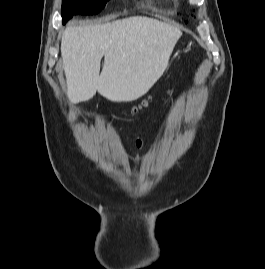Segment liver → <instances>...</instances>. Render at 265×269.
<instances>
[{
    "label": "liver",
    "mask_w": 265,
    "mask_h": 269,
    "mask_svg": "<svg viewBox=\"0 0 265 269\" xmlns=\"http://www.w3.org/2000/svg\"><path fill=\"white\" fill-rule=\"evenodd\" d=\"M181 35L177 27L144 16L67 27L61 55L69 100L87 101L96 91L113 102L145 95L165 72Z\"/></svg>",
    "instance_id": "obj_1"
}]
</instances>
